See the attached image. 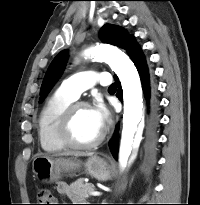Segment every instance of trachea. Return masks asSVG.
Returning a JSON list of instances; mask_svg holds the SVG:
<instances>
[{
    "label": "trachea",
    "instance_id": "obj_1",
    "mask_svg": "<svg viewBox=\"0 0 200 205\" xmlns=\"http://www.w3.org/2000/svg\"><path fill=\"white\" fill-rule=\"evenodd\" d=\"M113 89H116V85H115V84H111V85L109 86V90H113Z\"/></svg>",
    "mask_w": 200,
    "mask_h": 205
}]
</instances>
